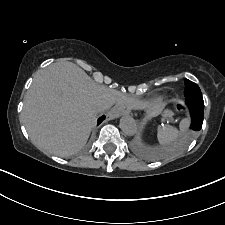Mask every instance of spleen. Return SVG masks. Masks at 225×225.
Segmentation results:
<instances>
[{"label":"spleen","mask_w":225,"mask_h":225,"mask_svg":"<svg viewBox=\"0 0 225 225\" xmlns=\"http://www.w3.org/2000/svg\"><path fill=\"white\" fill-rule=\"evenodd\" d=\"M189 125L188 119H182L180 122V130H177L175 127L171 125H164L158 127V141L162 145L169 144L170 142L174 141L180 133H183L187 130Z\"/></svg>","instance_id":"1"}]
</instances>
